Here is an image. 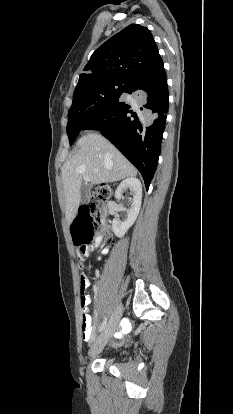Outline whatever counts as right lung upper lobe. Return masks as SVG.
<instances>
[{
  "label": "right lung upper lobe",
  "mask_w": 233,
  "mask_h": 414,
  "mask_svg": "<svg viewBox=\"0 0 233 414\" xmlns=\"http://www.w3.org/2000/svg\"><path fill=\"white\" fill-rule=\"evenodd\" d=\"M164 69L151 32L131 24L101 45L80 74L74 93L108 80L131 82Z\"/></svg>",
  "instance_id": "1"
}]
</instances>
